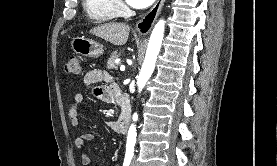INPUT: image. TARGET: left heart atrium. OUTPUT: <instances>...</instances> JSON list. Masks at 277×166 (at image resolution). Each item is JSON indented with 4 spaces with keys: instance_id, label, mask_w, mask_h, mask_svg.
Masks as SVG:
<instances>
[{
    "instance_id": "obj_1",
    "label": "left heart atrium",
    "mask_w": 277,
    "mask_h": 166,
    "mask_svg": "<svg viewBox=\"0 0 277 166\" xmlns=\"http://www.w3.org/2000/svg\"><path fill=\"white\" fill-rule=\"evenodd\" d=\"M129 5L135 8H146L150 6L155 0H126Z\"/></svg>"
}]
</instances>
